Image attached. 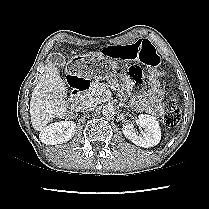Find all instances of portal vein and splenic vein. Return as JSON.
<instances>
[{
    "label": "portal vein and splenic vein",
    "instance_id": "obj_1",
    "mask_svg": "<svg viewBox=\"0 0 209 209\" xmlns=\"http://www.w3.org/2000/svg\"><path fill=\"white\" fill-rule=\"evenodd\" d=\"M107 87H108V85H106V84L102 85L100 91L101 92L105 91Z\"/></svg>",
    "mask_w": 209,
    "mask_h": 209
}]
</instances>
